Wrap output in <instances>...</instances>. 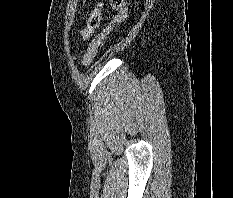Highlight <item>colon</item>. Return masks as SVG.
Segmentation results:
<instances>
[{"label":"colon","instance_id":"obj_1","mask_svg":"<svg viewBox=\"0 0 233 198\" xmlns=\"http://www.w3.org/2000/svg\"><path fill=\"white\" fill-rule=\"evenodd\" d=\"M112 7L116 10V14L113 19L107 24V26L93 39L87 52L83 57V64L89 66L96 57V54L103 44L106 36L113 30V28L121 23L126 17V4L124 0H110ZM101 3L98 2L96 8L90 14L87 25L84 30L81 31L83 38L89 37L91 32L98 27L101 20L100 12Z\"/></svg>","mask_w":233,"mask_h":198}]
</instances>
